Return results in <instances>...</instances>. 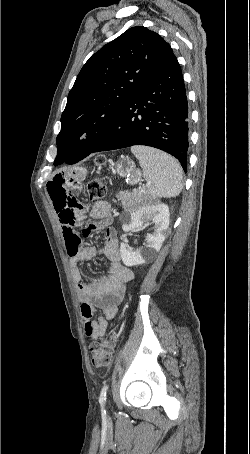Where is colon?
I'll return each instance as SVG.
<instances>
[{
  "instance_id": "colon-1",
  "label": "colon",
  "mask_w": 250,
  "mask_h": 454,
  "mask_svg": "<svg viewBox=\"0 0 250 454\" xmlns=\"http://www.w3.org/2000/svg\"><path fill=\"white\" fill-rule=\"evenodd\" d=\"M97 160L102 162L103 157H98ZM86 190L90 200H99L105 196L107 188L103 180L94 178L88 182ZM117 340L118 335L112 334L107 338L95 340L90 345L91 361L95 367H105L111 363Z\"/></svg>"
}]
</instances>
